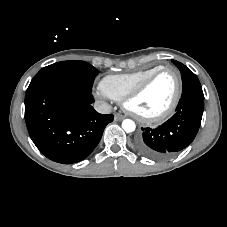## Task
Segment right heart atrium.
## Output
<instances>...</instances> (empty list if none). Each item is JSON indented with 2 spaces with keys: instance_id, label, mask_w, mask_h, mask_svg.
I'll list each match as a JSON object with an SVG mask.
<instances>
[{
  "instance_id": "right-heart-atrium-1",
  "label": "right heart atrium",
  "mask_w": 227,
  "mask_h": 227,
  "mask_svg": "<svg viewBox=\"0 0 227 227\" xmlns=\"http://www.w3.org/2000/svg\"><path fill=\"white\" fill-rule=\"evenodd\" d=\"M98 95H99L100 97H105V96H106L102 91H100V92L98 93Z\"/></svg>"
}]
</instances>
